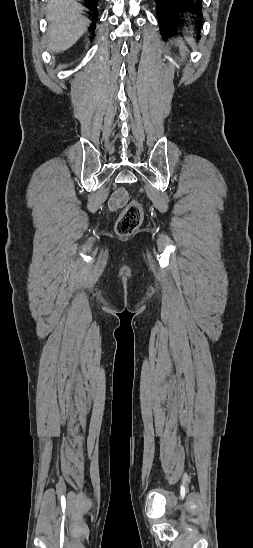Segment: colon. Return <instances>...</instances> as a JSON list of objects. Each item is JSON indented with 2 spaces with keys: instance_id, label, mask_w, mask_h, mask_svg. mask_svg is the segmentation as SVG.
<instances>
[{
  "instance_id": "colon-1",
  "label": "colon",
  "mask_w": 253,
  "mask_h": 548,
  "mask_svg": "<svg viewBox=\"0 0 253 548\" xmlns=\"http://www.w3.org/2000/svg\"><path fill=\"white\" fill-rule=\"evenodd\" d=\"M143 217L144 213L141 204L138 201L129 202L117 219L115 225L116 233L123 237L130 236L138 229Z\"/></svg>"
}]
</instances>
